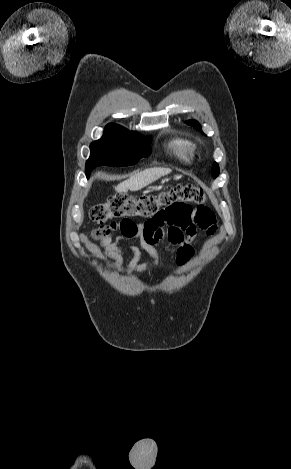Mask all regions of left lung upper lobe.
Listing matches in <instances>:
<instances>
[{
    "instance_id": "obj_1",
    "label": "left lung upper lobe",
    "mask_w": 291,
    "mask_h": 469,
    "mask_svg": "<svg viewBox=\"0 0 291 469\" xmlns=\"http://www.w3.org/2000/svg\"><path fill=\"white\" fill-rule=\"evenodd\" d=\"M187 124H190L197 130L201 131V126L197 121L195 120L187 121ZM212 175L214 178H216L219 175V166L216 162L214 163V166L212 167Z\"/></svg>"
}]
</instances>
